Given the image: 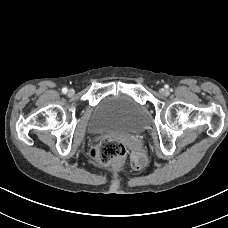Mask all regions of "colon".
<instances>
[{"label":"colon","instance_id":"obj_1","mask_svg":"<svg viewBox=\"0 0 228 228\" xmlns=\"http://www.w3.org/2000/svg\"><path fill=\"white\" fill-rule=\"evenodd\" d=\"M126 153L122 143L113 139L102 140L90 151L91 158L100 165H110L121 160Z\"/></svg>","mask_w":228,"mask_h":228}]
</instances>
